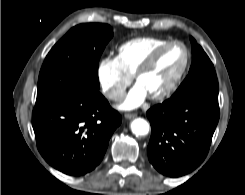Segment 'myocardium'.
<instances>
[{
  "label": "myocardium",
  "instance_id": "obj_1",
  "mask_svg": "<svg viewBox=\"0 0 245 195\" xmlns=\"http://www.w3.org/2000/svg\"><path fill=\"white\" fill-rule=\"evenodd\" d=\"M172 46H180L183 49V62L181 67L179 68L178 72L175 74V76L172 78V80L169 82V84L162 89L160 92L149 95V98L152 100H162L168 97L178 86L180 83L183 75L185 74V71L187 69L188 63H189V52L186 48V46L180 42V41H168L163 45H160L156 49H154L144 60L143 62L138 66L135 73L133 74L134 80L138 82L139 78L146 73L156 62L158 57L168 48Z\"/></svg>",
  "mask_w": 245,
  "mask_h": 195
}]
</instances>
